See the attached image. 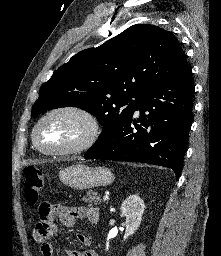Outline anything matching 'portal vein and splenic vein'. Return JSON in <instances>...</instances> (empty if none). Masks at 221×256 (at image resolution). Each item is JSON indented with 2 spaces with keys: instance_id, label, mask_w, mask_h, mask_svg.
<instances>
[{
  "instance_id": "portal-vein-and-splenic-vein-1",
  "label": "portal vein and splenic vein",
  "mask_w": 221,
  "mask_h": 256,
  "mask_svg": "<svg viewBox=\"0 0 221 256\" xmlns=\"http://www.w3.org/2000/svg\"><path fill=\"white\" fill-rule=\"evenodd\" d=\"M103 200L104 201H108L109 200V196L108 195H104Z\"/></svg>"
}]
</instances>
